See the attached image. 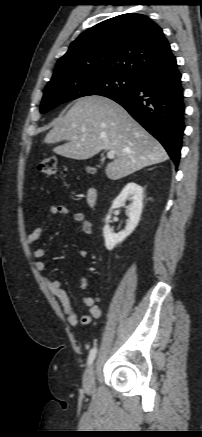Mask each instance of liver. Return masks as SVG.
<instances>
[{"instance_id": "1", "label": "liver", "mask_w": 202, "mask_h": 437, "mask_svg": "<svg viewBox=\"0 0 202 437\" xmlns=\"http://www.w3.org/2000/svg\"><path fill=\"white\" fill-rule=\"evenodd\" d=\"M58 155L86 160L101 150L115 152L105 170L107 177L118 180L146 166L168 159L163 146L128 112L113 100L101 96L79 98L65 116L58 119L45 136Z\"/></svg>"}]
</instances>
